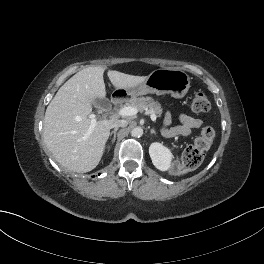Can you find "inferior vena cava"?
I'll return each mask as SVG.
<instances>
[{
  "label": "inferior vena cava",
  "instance_id": "602c4592",
  "mask_svg": "<svg viewBox=\"0 0 264 264\" xmlns=\"http://www.w3.org/2000/svg\"><path fill=\"white\" fill-rule=\"evenodd\" d=\"M127 124L126 120H117L112 124V128L126 127Z\"/></svg>",
  "mask_w": 264,
  "mask_h": 264
}]
</instances>
